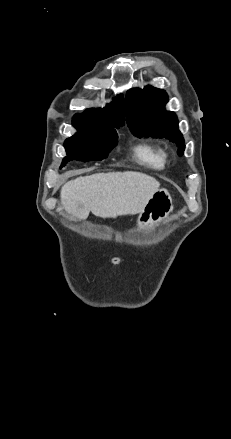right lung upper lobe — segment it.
<instances>
[{
  "label": "right lung upper lobe",
  "instance_id": "1",
  "mask_svg": "<svg viewBox=\"0 0 231 439\" xmlns=\"http://www.w3.org/2000/svg\"><path fill=\"white\" fill-rule=\"evenodd\" d=\"M73 120H84L93 122L104 127H119L124 125V99L122 95L114 98L113 101L103 109L90 108L82 114H75Z\"/></svg>",
  "mask_w": 231,
  "mask_h": 439
}]
</instances>
